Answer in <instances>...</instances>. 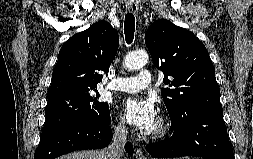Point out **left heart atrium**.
Wrapping results in <instances>:
<instances>
[{
    "mask_svg": "<svg viewBox=\"0 0 253 159\" xmlns=\"http://www.w3.org/2000/svg\"><path fill=\"white\" fill-rule=\"evenodd\" d=\"M122 112L125 120L143 133H150L157 123L156 106L150 99L128 98L122 104Z\"/></svg>",
    "mask_w": 253,
    "mask_h": 159,
    "instance_id": "1",
    "label": "left heart atrium"
}]
</instances>
